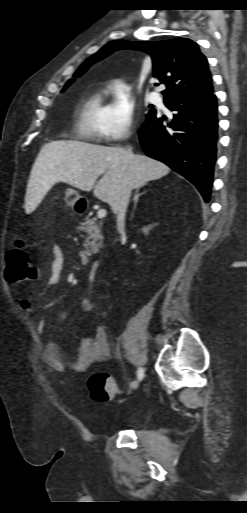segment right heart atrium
<instances>
[{"mask_svg":"<svg viewBox=\"0 0 247 513\" xmlns=\"http://www.w3.org/2000/svg\"><path fill=\"white\" fill-rule=\"evenodd\" d=\"M136 102L127 85L120 81L112 84V100L102 122L101 139L114 143L127 138L134 124Z\"/></svg>","mask_w":247,"mask_h":513,"instance_id":"1","label":"right heart atrium"}]
</instances>
